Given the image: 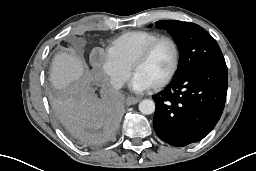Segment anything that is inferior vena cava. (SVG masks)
<instances>
[{"label": "inferior vena cava", "instance_id": "inferior-vena-cava-1", "mask_svg": "<svg viewBox=\"0 0 256 171\" xmlns=\"http://www.w3.org/2000/svg\"><path fill=\"white\" fill-rule=\"evenodd\" d=\"M111 85L113 86L114 89L119 90L123 86V83L120 80L112 79Z\"/></svg>", "mask_w": 256, "mask_h": 171}]
</instances>
